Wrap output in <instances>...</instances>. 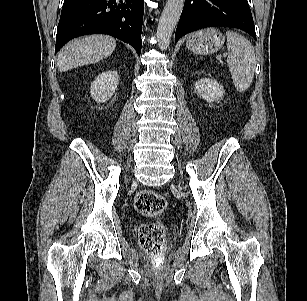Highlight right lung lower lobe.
Masks as SVG:
<instances>
[{
	"mask_svg": "<svg viewBox=\"0 0 307 301\" xmlns=\"http://www.w3.org/2000/svg\"><path fill=\"white\" fill-rule=\"evenodd\" d=\"M143 0H64L55 52L69 40L87 34L114 36L141 52Z\"/></svg>",
	"mask_w": 307,
	"mask_h": 301,
	"instance_id": "1",
	"label": "right lung lower lobe"
}]
</instances>
